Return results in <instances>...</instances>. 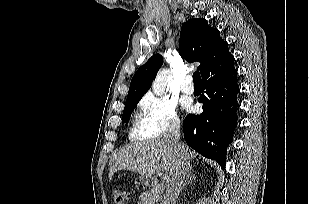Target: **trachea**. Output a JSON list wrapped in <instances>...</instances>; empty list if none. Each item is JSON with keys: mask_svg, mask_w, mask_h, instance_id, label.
<instances>
[{"mask_svg": "<svg viewBox=\"0 0 309 204\" xmlns=\"http://www.w3.org/2000/svg\"><path fill=\"white\" fill-rule=\"evenodd\" d=\"M193 82L194 85H201V76L198 71L194 72L193 74Z\"/></svg>", "mask_w": 309, "mask_h": 204, "instance_id": "trachea-1", "label": "trachea"}]
</instances>
